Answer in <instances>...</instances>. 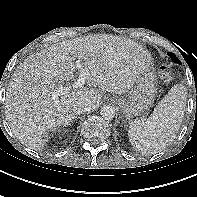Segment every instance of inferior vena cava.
I'll list each match as a JSON object with an SVG mask.
<instances>
[{
	"mask_svg": "<svg viewBox=\"0 0 197 197\" xmlns=\"http://www.w3.org/2000/svg\"><path fill=\"white\" fill-rule=\"evenodd\" d=\"M92 104L91 101L89 99H83V100H79L76 104H75V111L77 114H82L84 112H87L91 109Z\"/></svg>",
	"mask_w": 197,
	"mask_h": 197,
	"instance_id": "602c4592",
	"label": "inferior vena cava"
}]
</instances>
